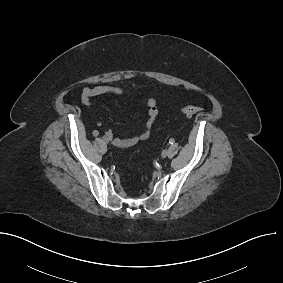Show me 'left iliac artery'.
I'll use <instances>...</instances> for the list:
<instances>
[{
	"mask_svg": "<svg viewBox=\"0 0 283 283\" xmlns=\"http://www.w3.org/2000/svg\"><path fill=\"white\" fill-rule=\"evenodd\" d=\"M174 142H175V140H174L173 138H171V139L169 140V143H170V144H174Z\"/></svg>",
	"mask_w": 283,
	"mask_h": 283,
	"instance_id": "1",
	"label": "left iliac artery"
}]
</instances>
